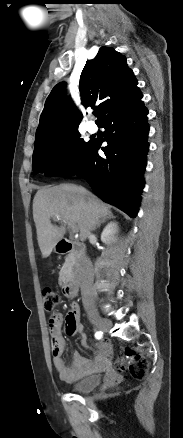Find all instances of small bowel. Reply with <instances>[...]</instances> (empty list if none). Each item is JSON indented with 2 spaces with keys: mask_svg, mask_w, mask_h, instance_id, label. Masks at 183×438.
Returning <instances> with one entry per match:
<instances>
[{
  "mask_svg": "<svg viewBox=\"0 0 183 438\" xmlns=\"http://www.w3.org/2000/svg\"><path fill=\"white\" fill-rule=\"evenodd\" d=\"M65 321L66 327H73L74 332L81 337L83 346L88 347L87 337L84 333L83 325L80 322V307L77 303H72L65 317L59 313L53 314L49 321V331L52 343L53 365L60 379L65 382H73L82 377L98 372L104 368V360L102 355H98L95 361H90L75 352L73 362L67 365L63 360L66 343L62 336L61 328ZM102 350L108 349V344L101 345Z\"/></svg>",
  "mask_w": 183,
  "mask_h": 438,
  "instance_id": "obj_1",
  "label": "small bowel"
}]
</instances>
